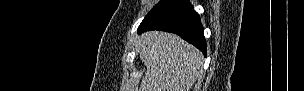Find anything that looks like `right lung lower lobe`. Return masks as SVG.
Wrapping results in <instances>:
<instances>
[{
  "label": "right lung lower lobe",
  "instance_id": "98d812e1",
  "mask_svg": "<svg viewBox=\"0 0 304 91\" xmlns=\"http://www.w3.org/2000/svg\"><path fill=\"white\" fill-rule=\"evenodd\" d=\"M150 30L178 34L206 56V41L200 17L188 0H161L138 27V33Z\"/></svg>",
  "mask_w": 304,
  "mask_h": 91
}]
</instances>
